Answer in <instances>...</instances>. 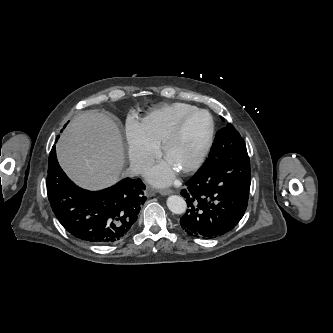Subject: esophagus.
I'll use <instances>...</instances> for the list:
<instances>
[{
	"instance_id": "34e87169",
	"label": "esophagus",
	"mask_w": 333,
	"mask_h": 333,
	"mask_svg": "<svg viewBox=\"0 0 333 333\" xmlns=\"http://www.w3.org/2000/svg\"><path fill=\"white\" fill-rule=\"evenodd\" d=\"M174 191L171 190V189H163V190H159V193L163 196H166V195H169V194H172ZM150 196H153L154 193L153 192H149L148 193Z\"/></svg>"
}]
</instances>
